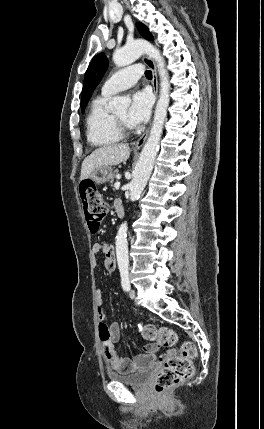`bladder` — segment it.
Listing matches in <instances>:
<instances>
[{
  "mask_svg": "<svg viewBox=\"0 0 264 429\" xmlns=\"http://www.w3.org/2000/svg\"><path fill=\"white\" fill-rule=\"evenodd\" d=\"M154 369L152 367L144 370L128 373L119 374L114 372H108L107 376L111 381L118 382L127 386L139 388L144 386L152 377Z\"/></svg>",
  "mask_w": 264,
  "mask_h": 429,
  "instance_id": "bladder-1",
  "label": "bladder"
}]
</instances>
